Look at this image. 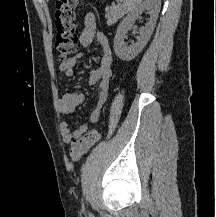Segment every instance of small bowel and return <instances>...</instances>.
<instances>
[{
  "label": "small bowel",
  "mask_w": 216,
  "mask_h": 217,
  "mask_svg": "<svg viewBox=\"0 0 216 217\" xmlns=\"http://www.w3.org/2000/svg\"><path fill=\"white\" fill-rule=\"evenodd\" d=\"M83 30L80 34L79 41L83 46H89L93 40H97L103 49L101 60L97 69H95L88 78L89 85L98 84L97 104L89 115L86 123L78 126L75 129L70 128L66 121L60 124L59 130L61 140L64 143H70L80 138L88 128L97 123L100 118L101 109L106 102L112 80V53L107 41V38L98 29L97 19L93 13H87L83 20ZM83 54L78 53L68 61H63L59 64V70L67 77L74 76V69L77 62L82 58ZM85 100V95L82 92H70L62 96L58 102V110L61 115H70L75 113L78 106Z\"/></svg>",
  "instance_id": "obj_1"
}]
</instances>
